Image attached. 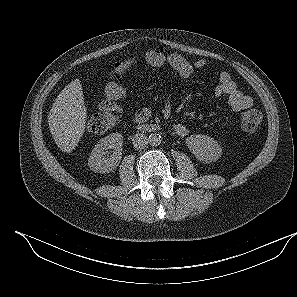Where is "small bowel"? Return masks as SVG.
Here are the masks:
<instances>
[{
    "instance_id": "1",
    "label": "small bowel",
    "mask_w": 297,
    "mask_h": 297,
    "mask_svg": "<svg viewBox=\"0 0 297 297\" xmlns=\"http://www.w3.org/2000/svg\"><path fill=\"white\" fill-rule=\"evenodd\" d=\"M144 60L152 67L166 66L182 78L190 77L196 70L202 69L208 65V62L205 59L190 62L178 54L165 53L158 49L148 50L144 54ZM130 64L131 62L127 61L122 70L126 69ZM128 93L129 92L126 87L116 82L107 83L105 86V95L107 100L101 104L100 108L122 113L123 108L118 104V102L127 98ZM214 93L216 97L226 96L228 106L235 112L248 109L253 104L252 98L239 90L228 72L220 73L219 83L216 86ZM150 116L151 110L149 108H141L135 112L132 120L134 122L141 123L147 121ZM174 130L180 137H185L189 133L188 128L181 123L175 124Z\"/></svg>"
}]
</instances>
